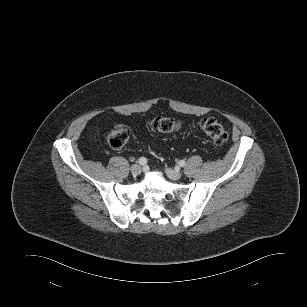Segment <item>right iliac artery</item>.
<instances>
[{"instance_id": "1", "label": "right iliac artery", "mask_w": 307, "mask_h": 307, "mask_svg": "<svg viewBox=\"0 0 307 307\" xmlns=\"http://www.w3.org/2000/svg\"><path fill=\"white\" fill-rule=\"evenodd\" d=\"M138 162L140 165H145L147 163V159L145 157H141Z\"/></svg>"}]
</instances>
